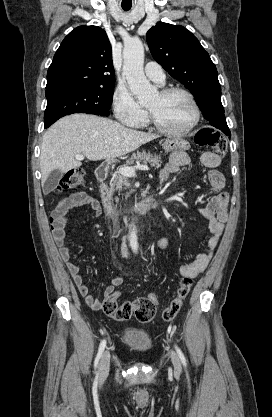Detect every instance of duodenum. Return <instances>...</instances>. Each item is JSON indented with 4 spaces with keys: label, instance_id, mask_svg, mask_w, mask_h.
I'll return each mask as SVG.
<instances>
[{
    "label": "duodenum",
    "instance_id": "1",
    "mask_svg": "<svg viewBox=\"0 0 272 417\" xmlns=\"http://www.w3.org/2000/svg\"><path fill=\"white\" fill-rule=\"evenodd\" d=\"M111 170V164L110 163H103L99 165L95 170V176L99 183H101V199L102 204L109 216H111L114 219H117L122 211L115 205L112 195L109 192V190L106 188V186L103 184L105 179L107 178L109 172ZM156 195L151 194L135 205L131 206L126 212L131 214H142L156 206Z\"/></svg>",
    "mask_w": 272,
    "mask_h": 417
}]
</instances>
